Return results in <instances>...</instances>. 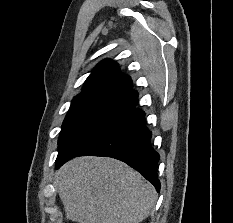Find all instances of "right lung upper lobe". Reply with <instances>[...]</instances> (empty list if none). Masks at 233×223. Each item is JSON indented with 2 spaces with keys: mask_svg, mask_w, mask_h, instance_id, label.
<instances>
[{
  "mask_svg": "<svg viewBox=\"0 0 233 223\" xmlns=\"http://www.w3.org/2000/svg\"><path fill=\"white\" fill-rule=\"evenodd\" d=\"M132 89L129 76L121 73L118 65L112 60H104L93 70L85 81L83 92L80 95L96 93L125 94Z\"/></svg>",
  "mask_w": 233,
  "mask_h": 223,
  "instance_id": "cb5924a9",
  "label": "right lung upper lobe"
}]
</instances>
